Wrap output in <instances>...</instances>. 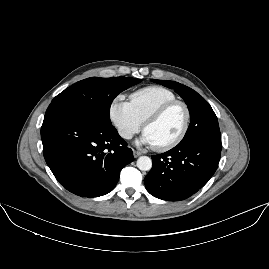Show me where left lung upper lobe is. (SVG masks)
I'll return each mask as SVG.
<instances>
[{
  "label": "left lung upper lobe",
  "mask_w": 269,
  "mask_h": 269,
  "mask_svg": "<svg viewBox=\"0 0 269 269\" xmlns=\"http://www.w3.org/2000/svg\"><path fill=\"white\" fill-rule=\"evenodd\" d=\"M151 81L174 89L188 106L190 125L179 144H190L203 139L221 141L217 117L209 103L200 94L178 82L156 79H151Z\"/></svg>",
  "instance_id": "obj_1"
}]
</instances>
